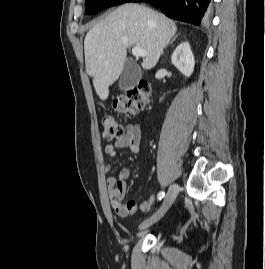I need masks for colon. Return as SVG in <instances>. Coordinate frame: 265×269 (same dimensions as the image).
Returning a JSON list of instances; mask_svg holds the SVG:
<instances>
[{"instance_id":"obj_1","label":"colon","mask_w":265,"mask_h":269,"mask_svg":"<svg viewBox=\"0 0 265 269\" xmlns=\"http://www.w3.org/2000/svg\"><path fill=\"white\" fill-rule=\"evenodd\" d=\"M150 88L147 82L129 89L125 94L117 97L113 102L114 109L127 116L132 117L138 114L145 106ZM123 134L122 126L112 115H105L102 118V137L105 141H112Z\"/></svg>"}]
</instances>
